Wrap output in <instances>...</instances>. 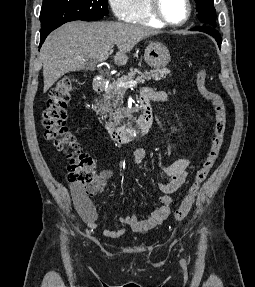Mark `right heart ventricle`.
I'll return each instance as SVG.
<instances>
[{"label":"right heart ventricle","instance_id":"1","mask_svg":"<svg viewBox=\"0 0 255 287\" xmlns=\"http://www.w3.org/2000/svg\"><path fill=\"white\" fill-rule=\"evenodd\" d=\"M127 33H152V32H127ZM133 39H141V38H133ZM150 39H162V38H150ZM157 48H165V47H157Z\"/></svg>","mask_w":255,"mask_h":287}]
</instances>
